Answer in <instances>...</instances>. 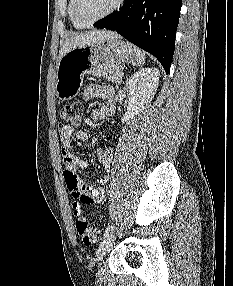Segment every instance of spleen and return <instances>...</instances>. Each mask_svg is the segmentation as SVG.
<instances>
[{
	"mask_svg": "<svg viewBox=\"0 0 233 286\" xmlns=\"http://www.w3.org/2000/svg\"><path fill=\"white\" fill-rule=\"evenodd\" d=\"M136 61L138 66H142L145 63V52L139 48H135Z\"/></svg>",
	"mask_w": 233,
	"mask_h": 286,
	"instance_id": "spleen-1",
	"label": "spleen"
}]
</instances>
